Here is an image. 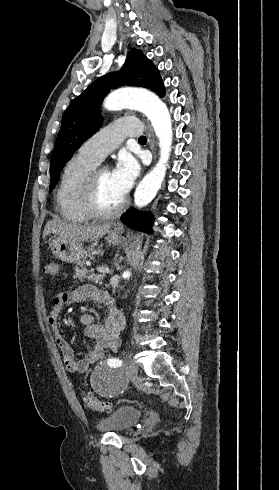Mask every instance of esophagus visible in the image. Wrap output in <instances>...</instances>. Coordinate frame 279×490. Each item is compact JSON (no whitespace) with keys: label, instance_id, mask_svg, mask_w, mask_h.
I'll use <instances>...</instances> for the list:
<instances>
[{"label":"esophagus","instance_id":"1","mask_svg":"<svg viewBox=\"0 0 279 490\" xmlns=\"http://www.w3.org/2000/svg\"><path fill=\"white\" fill-rule=\"evenodd\" d=\"M146 128H147V133H148L149 147L153 152L155 149V143H154V137H153V129H152V126L149 124V122H146Z\"/></svg>","mask_w":279,"mask_h":490}]
</instances>
